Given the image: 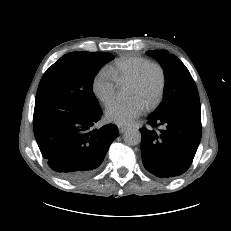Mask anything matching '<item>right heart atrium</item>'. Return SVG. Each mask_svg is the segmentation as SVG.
<instances>
[{"instance_id": "1", "label": "right heart atrium", "mask_w": 231, "mask_h": 231, "mask_svg": "<svg viewBox=\"0 0 231 231\" xmlns=\"http://www.w3.org/2000/svg\"><path fill=\"white\" fill-rule=\"evenodd\" d=\"M92 88L95 96L107 105L115 98L117 83L108 69H102L94 77Z\"/></svg>"}]
</instances>
